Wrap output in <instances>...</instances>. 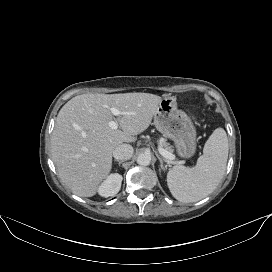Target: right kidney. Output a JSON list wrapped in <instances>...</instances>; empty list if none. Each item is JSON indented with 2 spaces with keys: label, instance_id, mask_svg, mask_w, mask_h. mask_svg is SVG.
Masks as SVG:
<instances>
[{
  "label": "right kidney",
  "instance_id": "1",
  "mask_svg": "<svg viewBox=\"0 0 272 272\" xmlns=\"http://www.w3.org/2000/svg\"><path fill=\"white\" fill-rule=\"evenodd\" d=\"M122 179V176L118 173L110 174L100 185L99 195L109 197L117 194L121 189Z\"/></svg>",
  "mask_w": 272,
  "mask_h": 272
}]
</instances>
